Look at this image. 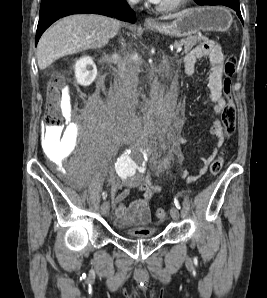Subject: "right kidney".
<instances>
[{
    "label": "right kidney",
    "instance_id": "1",
    "mask_svg": "<svg viewBox=\"0 0 267 298\" xmlns=\"http://www.w3.org/2000/svg\"><path fill=\"white\" fill-rule=\"evenodd\" d=\"M75 78L82 86H89L97 76V68L92 58L85 56L75 63Z\"/></svg>",
    "mask_w": 267,
    "mask_h": 298
}]
</instances>
